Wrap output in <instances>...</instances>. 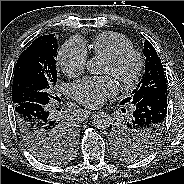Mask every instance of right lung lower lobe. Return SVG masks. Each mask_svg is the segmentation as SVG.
<instances>
[{"instance_id":"1","label":"right lung lower lobe","mask_w":184,"mask_h":184,"mask_svg":"<svg viewBox=\"0 0 184 184\" xmlns=\"http://www.w3.org/2000/svg\"><path fill=\"white\" fill-rule=\"evenodd\" d=\"M18 130L31 152L41 151L56 142L67 120L54 116L48 104L31 101L14 105Z\"/></svg>"}]
</instances>
